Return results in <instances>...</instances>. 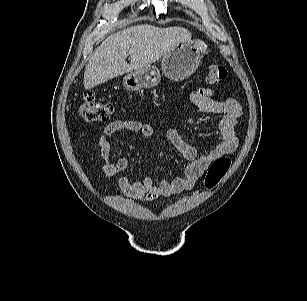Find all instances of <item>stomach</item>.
I'll return each instance as SVG.
<instances>
[{
    "label": "stomach",
    "instance_id": "1",
    "mask_svg": "<svg viewBox=\"0 0 307 301\" xmlns=\"http://www.w3.org/2000/svg\"><path fill=\"white\" fill-rule=\"evenodd\" d=\"M207 46L200 40L181 41L161 61L165 77L171 81H183L199 67L201 59L207 54ZM161 79L157 67L148 65L130 72L123 78V86L128 91L156 86Z\"/></svg>",
    "mask_w": 307,
    "mask_h": 301
}]
</instances>
